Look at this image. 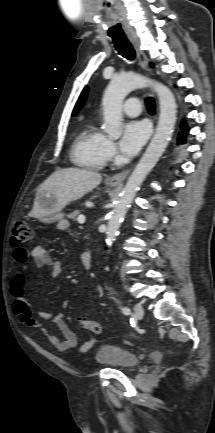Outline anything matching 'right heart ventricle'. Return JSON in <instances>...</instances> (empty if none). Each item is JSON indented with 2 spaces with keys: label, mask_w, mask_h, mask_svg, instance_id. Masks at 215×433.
Returning <instances> with one entry per match:
<instances>
[{
  "label": "right heart ventricle",
  "mask_w": 215,
  "mask_h": 433,
  "mask_svg": "<svg viewBox=\"0 0 215 433\" xmlns=\"http://www.w3.org/2000/svg\"><path fill=\"white\" fill-rule=\"evenodd\" d=\"M106 137L94 121L86 123L77 135L71 156L82 167L101 169L106 164L104 145Z\"/></svg>",
  "instance_id": "right-heart-ventricle-1"
}]
</instances>
